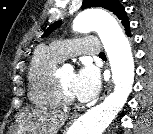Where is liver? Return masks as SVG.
I'll list each match as a JSON object with an SVG mask.
<instances>
[{"label":"liver","mask_w":153,"mask_h":134,"mask_svg":"<svg viewBox=\"0 0 153 134\" xmlns=\"http://www.w3.org/2000/svg\"><path fill=\"white\" fill-rule=\"evenodd\" d=\"M66 118L67 115L59 111L26 110L19 116L18 132L55 134L63 125Z\"/></svg>","instance_id":"liver-1"}]
</instances>
